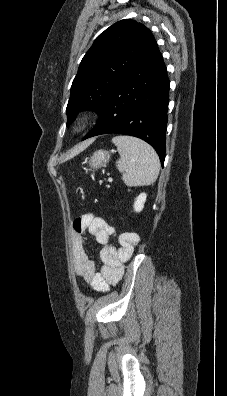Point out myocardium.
<instances>
[{
    "instance_id": "f54148a6",
    "label": "myocardium",
    "mask_w": 227,
    "mask_h": 396,
    "mask_svg": "<svg viewBox=\"0 0 227 396\" xmlns=\"http://www.w3.org/2000/svg\"><path fill=\"white\" fill-rule=\"evenodd\" d=\"M94 119V115L91 112L79 114L73 121V132L79 134L83 132Z\"/></svg>"
}]
</instances>
